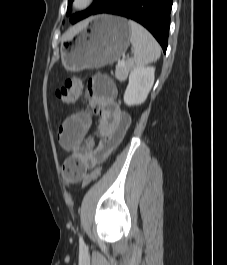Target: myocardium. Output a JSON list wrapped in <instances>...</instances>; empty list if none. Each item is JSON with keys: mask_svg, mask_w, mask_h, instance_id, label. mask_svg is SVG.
Wrapping results in <instances>:
<instances>
[{"mask_svg": "<svg viewBox=\"0 0 227 265\" xmlns=\"http://www.w3.org/2000/svg\"><path fill=\"white\" fill-rule=\"evenodd\" d=\"M95 0H73L72 8L76 11H84L94 4Z\"/></svg>", "mask_w": 227, "mask_h": 265, "instance_id": "obj_1", "label": "myocardium"}]
</instances>
